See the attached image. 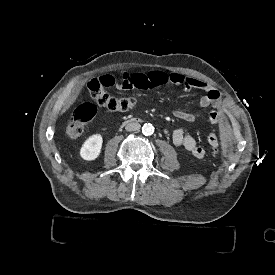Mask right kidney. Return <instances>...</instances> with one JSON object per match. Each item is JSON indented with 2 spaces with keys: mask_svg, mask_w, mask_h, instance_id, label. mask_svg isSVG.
I'll use <instances>...</instances> for the list:
<instances>
[{
  "mask_svg": "<svg viewBox=\"0 0 275 275\" xmlns=\"http://www.w3.org/2000/svg\"><path fill=\"white\" fill-rule=\"evenodd\" d=\"M103 137L101 134L89 136L80 148L79 155L85 161L96 160L101 154Z\"/></svg>",
  "mask_w": 275,
  "mask_h": 275,
  "instance_id": "1",
  "label": "right kidney"
}]
</instances>
